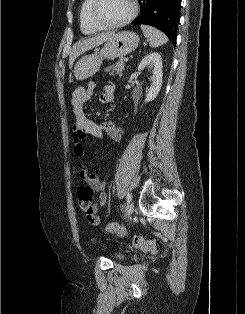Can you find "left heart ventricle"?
Returning <instances> with one entry per match:
<instances>
[{
	"mask_svg": "<svg viewBox=\"0 0 245 314\" xmlns=\"http://www.w3.org/2000/svg\"><path fill=\"white\" fill-rule=\"evenodd\" d=\"M131 12L130 0H100L98 15L103 22L121 21Z\"/></svg>",
	"mask_w": 245,
	"mask_h": 314,
	"instance_id": "left-heart-ventricle-1",
	"label": "left heart ventricle"
}]
</instances>
